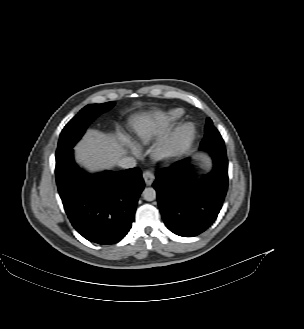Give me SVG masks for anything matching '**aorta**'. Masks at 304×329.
Wrapping results in <instances>:
<instances>
[{"label": "aorta", "mask_w": 304, "mask_h": 329, "mask_svg": "<svg viewBox=\"0 0 304 329\" xmlns=\"http://www.w3.org/2000/svg\"><path fill=\"white\" fill-rule=\"evenodd\" d=\"M142 196L146 201H153L156 198V191L152 187L145 188L142 192Z\"/></svg>", "instance_id": "aorta-1"}]
</instances>
